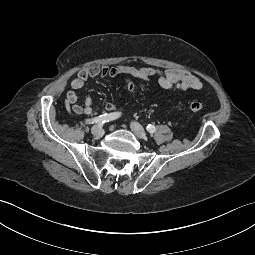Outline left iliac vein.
Returning <instances> with one entry per match:
<instances>
[{"mask_svg": "<svg viewBox=\"0 0 255 255\" xmlns=\"http://www.w3.org/2000/svg\"><path fill=\"white\" fill-rule=\"evenodd\" d=\"M130 126H131V130L137 137H139L140 139H143V140L147 139L146 132L139 123L134 121V122H131Z\"/></svg>", "mask_w": 255, "mask_h": 255, "instance_id": "obj_1", "label": "left iliac vein"}]
</instances>
